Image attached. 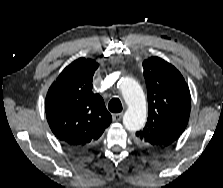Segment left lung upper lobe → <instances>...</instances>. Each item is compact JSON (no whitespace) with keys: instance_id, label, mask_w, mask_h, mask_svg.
<instances>
[{"instance_id":"obj_1","label":"left lung upper lobe","mask_w":223,"mask_h":188,"mask_svg":"<svg viewBox=\"0 0 223 188\" xmlns=\"http://www.w3.org/2000/svg\"><path fill=\"white\" fill-rule=\"evenodd\" d=\"M148 95V121L136 133L149 149H164L185 130L191 109L188 85L181 73L159 57L143 62Z\"/></svg>"}]
</instances>
